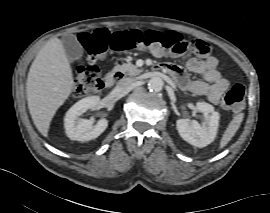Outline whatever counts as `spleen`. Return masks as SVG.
<instances>
[{
    "mask_svg": "<svg viewBox=\"0 0 270 213\" xmlns=\"http://www.w3.org/2000/svg\"><path fill=\"white\" fill-rule=\"evenodd\" d=\"M243 117L244 116L242 113L233 117L222 136V139L220 141V148L226 146L228 142L232 139V137L235 135L242 123Z\"/></svg>",
    "mask_w": 270,
    "mask_h": 213,
    "instance_id": "obj_1",
    "label": "spleen"
}]
</instances>
